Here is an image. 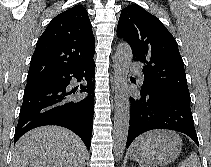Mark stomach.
Masks as SVG:
<instances>
[{"mask_svg":"<svg viewBox=\"0 0 211 167\" xmlns=\"http://www.w3.org/2000/svg\"><path fill=\"white\" fill-rule=\"evenodd\" d=\"M182 149L180 136L168 130H154L137 138L129 150L132 160L152 167H161L174 161Z\"/></svg>","mask_w":211,"mask_h":167,"instance_id":"0dacf381","label":"stomach"}]
</instances>
